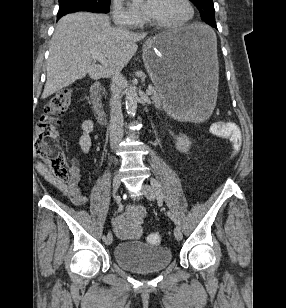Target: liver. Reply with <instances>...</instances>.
<instances>
[{"label":"liver","instance_id":"liver-1","mask_svg":"<svg viewBox=\"0 0 286 308\" xmlns=\"http://www.w3.org/2000/svg\"><path fill=\"white\" fill-rule=\"evenodd\" d=\"M146 35L112 27L110 18L104 14L77 12L63 16L50 41L42 99L87 74L97 80L121 71L136 53L137 42ZM92 50L106 57L107 67L92 64Z\"/></svg>","mask_w":286,"mask_h":308}]
</instances>
